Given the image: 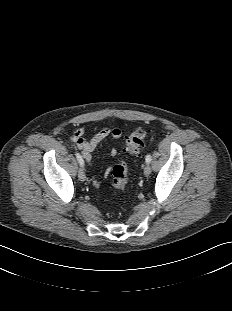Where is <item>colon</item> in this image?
I'll return each instance as SVG.
<instances>
[{"instance_id":"1","label":"colon","mask_w":232,"mask_h":311,"mask_svg":"<svg viewBox=\"0 0 232 311\" xmlns=\"http://www.w3.org/2000/svg\"><path fill=\"white\" fill-rule=\"evenodd\" d=\"M146 131L137 128L125 137V151L131 155L138 154L143 146ZM112 184L118 190H125L128 185L127 167L124 163H119L111 169Z\"/></svg>"}]
</instances>
